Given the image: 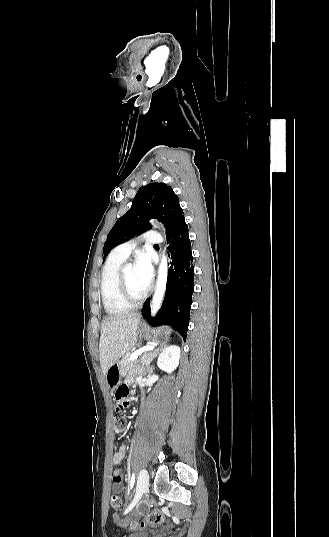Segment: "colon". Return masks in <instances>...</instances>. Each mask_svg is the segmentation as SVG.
<instances>
[{
	"label": "colon",
	"instance_id": "1",
	"mask_svg": "<svg viewBox=\"0 0 329 537\" xmlns=\"http://www.w3.org/2000/svg\"><path fill=\"white\" fill-rule=\"evenodd\" d=\"M125 429H126L125 419L121 416H116L114 420V433L116 435H120L125 431ZM110 505L114 510L119 511L122 507L121 497L116 493L112 494L110 498ZM162 519H163L162 513L156 510V511L149 512L147 516L145 517V519L141 522L137 520H131L127 522L125 525L131 528V531L133 533H137L139 531L138 527L144 526V525L159 524L161 523Z\"/></svg>",
	"mask_w": 329,
	"mask_h": 537
}]
</instances>
